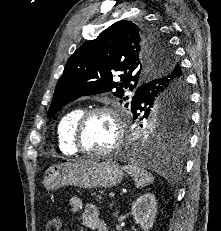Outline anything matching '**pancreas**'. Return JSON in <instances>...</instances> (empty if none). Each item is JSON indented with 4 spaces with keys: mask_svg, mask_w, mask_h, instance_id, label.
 Masks as SVG:
<instances>
[{
    "mask_svg": "<svg viewBox=\"0 0 221 231\" xmlns=\"http://www.w3.org/2000/svg\"><path fill=\"white\" fill-rule=\"evenodd\" d=\"M93 195L96 196V198H97L98 201L102 199L101 195H96V193H94Z\"/></svg>",
    "mask_w": 221,
    "mask_h": 231,
    "instance_id": "obj_1",
    "label": "pancreas"
}]
</instances>
